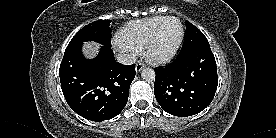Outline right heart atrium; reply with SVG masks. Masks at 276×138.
<instances>
[{
  "label": "right heart atrium",
  "mask_w": 276,
  "mask_h": 138,
  "mask_svg": "<svg viewBox=\"0 0 276 138\" xmlns=\"http://www.w3.org/2000/svg\"><path fill=\"white\" fill-rule=\"evenodd\" d=\"M116 46H117L118 49H120L121 51H123L124 53H126L130 57H134L137 54V50H135L134 48H132L128 45H124V44H122L118 41H117Z\"/></svg>",
  "instance_id": "right-heart-atrium-1"
}]
</instances>
